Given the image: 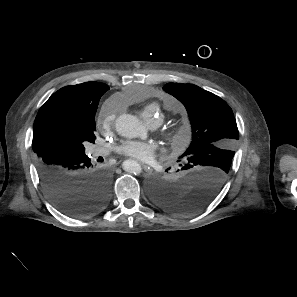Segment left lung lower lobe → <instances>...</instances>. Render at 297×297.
Listing matches in <instances>:
<instances>
[{
	"label": "left lung lower lobe",
	"mask_w": 297,
	"mask_h": 297,
	"mask_svg": "<svg viewBox=\"0 0 297 297\" xmlns=\"http://www.w3.org/2000/svg\"><path fill=\"white\" fill-rule=\"evenodd\" d=\"M175 179L154 180L149 184L152 200L158 206L180 214L197 212L208 205L221 190L227 174L214 166L180 165Z\"/></svg>",
	"instance_id": "0a47b994"
}]
</instances>
